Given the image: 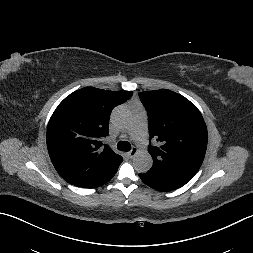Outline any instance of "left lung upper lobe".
Returning a JSON list of instances; mask_svg holds the SVG:
<instances>
[{
  "label": "left lung upper lobe",
  "instance_id": "obj_1",
  "mask_svg": "<svg viewBox=\"0 0 253 253\" xmlns=\"http://www.w3.org/2000/svg\"><path fill=\"white\" fill-rule=\"evenodd\" d=\"M148 113L149 134L159 146H149L150 174L190 181L199 170L207 148L204 119L188 99L162 89L139 93Z\"/></svg>",
  "mask_w": 253,
  "mask_h": 253
}]
</instances>
